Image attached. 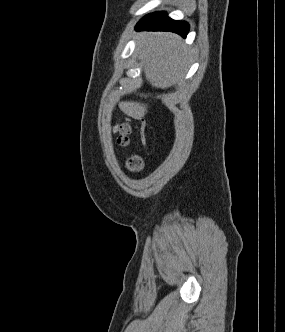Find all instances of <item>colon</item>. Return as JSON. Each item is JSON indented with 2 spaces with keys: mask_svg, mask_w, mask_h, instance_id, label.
Segmentation results:
<instances>
[{
  "mask_svg": "<svg viewBox=\"0 0 285 332\" xmlns=\"http://www.w3.org/2000/svg\"><path fill=\"white\" fill-rule=\"evenodd\" d=\"M116 131L118 133L117 143L121 147H126L130 141L131 125L128 120L120 122L116 125ZM127 168L131 172H139L143 168V160L138 156L130 157L127 160Z\"/></svg>",
  "mask_w": 285,
  "mask_h": 332,
  "instance_id": "colon-1",
  "label": "colon"
}]
</instances>
